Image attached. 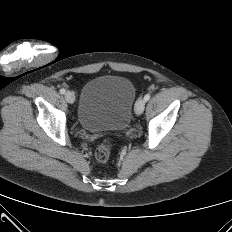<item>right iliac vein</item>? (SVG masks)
I'll return each instance as SVG.
<instances>
[{"label":"right iliac vein","instance_id":"1","mask_svg":"<svg viewBox=\"0 0 232 232\" xmlns=\"http://www.w3.org/2000/svg\"><path fill=\"white\" fill-rule=\"evenodd\" d=\"M65 99H66V101L68 103H71V104L74 103L75 102V95H74V93L71 92V91H67L65 93Z\"/></svg>","mask_w":232,"mask_h":232}]
</instances>
